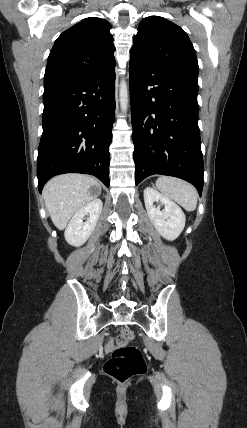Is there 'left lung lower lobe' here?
Returning a JSON list of instances; mask_svg holds the SVG:
<instances>
[{
  "mask_svg": "<svg viewBox=\"0 0 247 428\" xmlns=\"http://www.w3.org/2000/svg\"><path fill=\"white\" fill-rule=\"evenodd\" d=\"M129 84L136 185L153 174L175 176L192 183L201 196L198 86L133 56Z\"/></svg>",
  "mask_w": 247,
  "mask_h": 428,
  "instance_id": "0a47b994",
  "label": "left lung lower lobe"
}]
</instances>
